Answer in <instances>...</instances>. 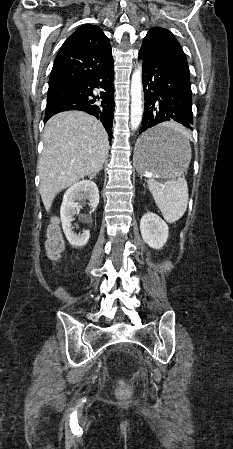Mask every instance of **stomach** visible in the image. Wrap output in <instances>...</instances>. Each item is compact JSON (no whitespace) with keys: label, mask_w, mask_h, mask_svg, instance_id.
Instances as JSON below:
<instances>
[{"label":"stomach","mask_w":233,"mask_h":449,"mask_svg":"<svg viewBox=\"0 0 233 449\" xmlns=\"http://www.w3.org/2000/svg\"><path fill=\"white\" fill-rule=\"evenodd\" d=\"M190 157L189 141L183 133L168 124H161L147 128V133L137 141L134 165L142 174L173 177L183 171Z\"/></svg>","instance_id":"obj_1"}]
</instances>
